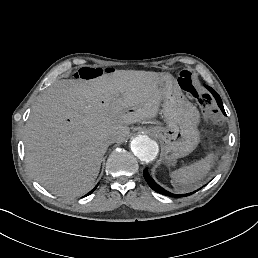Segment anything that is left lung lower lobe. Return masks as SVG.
<instances>
[{
  "label": "left lung lower lobe",
  "instance_id": "0a47b994",
  "mask_svg": "<svg viewBox=\"0 0 258 258\" xmlns=\"http://www.w3.org/2000/svg\"><path fill=\"white\" fill-rule=\"evenodd\" d=\"M207 89L213 94L214 98L216 99L217 103H218V106L220 107V109L222 110V112L226 115L225 111H224V107H223V104H222V100L220 98V96L210 87L206 86ZM144 177H145V180L147 181V183L149 184V186L156 192L160 193V194H163V195H166V196H171V197H185V196H189L191 194H193L194 192L192 193H188V194H181V195H175V194H172L168 191H166L165 189H163L161 186H159L151 177L150 175L148 174V169L145 168L144 172Z\"/></svg>",
  "mask_w": 258,
  "mask_h": 258
}]
</instances>
